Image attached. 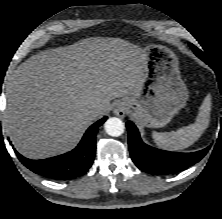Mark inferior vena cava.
Instances as JSON below:
<instances>
[{
	"label": "inferior vena cava",
	"mask_w": 222,
	"mask_h": 219,
	"mask_svg": "<svg viewBox=\"0 0 222 219\" xmlns=\"http://www.w3.org/2000/svg\"><path fill=\"white\" fill-rule=\"evenodd\" d=\"M92 113L93 114H99V113H101V109L100 108H96V109L92 110Z\"/></svg>",
	"instance_id": "obj_1"
}]
</instances>
